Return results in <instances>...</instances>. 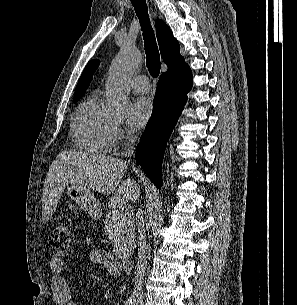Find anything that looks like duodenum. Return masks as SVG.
Instances as JSON below:
<instances>
[{"label": "duodenum", "instance_id": "duodenum-1", "mask_svg": "<svg viewBox=\"0 0 297 305\" xmlns=\"http://www.w3.org/2000/svg\"><path fill=\"white\" fill-rule=\"evenodd\" d=\"M122 266L126 273H131L133 269V260L130 257L122 258Z\"/></svg>", "mask_w": 297, "mask_h": 305}]
</instances>
